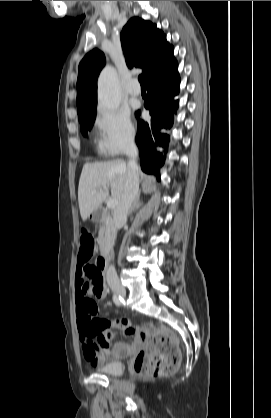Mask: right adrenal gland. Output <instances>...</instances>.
<instances>
[{"label":"right adrenal gland","mask_w":271,"mask_h":418,"mask_svg":"<svg viewBox=\"0 0 271 418\" xmlns=\"http://www.w3.org/2000/svg\"><path fill=\"white\" fill-rule=\"evenodd\" d=\"M142 203L140 202V192L137 194L132 206L129 209V214H131L134 210L139 209Z\"/></svg>","instance_id":"2a0ac1e0"}]
</instances>
